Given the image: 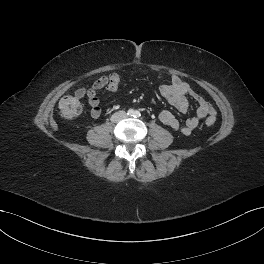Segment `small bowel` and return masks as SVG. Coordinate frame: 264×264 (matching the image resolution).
Instances as JSON below:
<instances>
[{"instance_id": "obj_1", "label": "small bowel", "mask_w": 264, "mask_h": 264, "mask_svg": "<svg viewBox=\"0 0 264 264\" xmlns=\"http://www.w3.org/2000/svg\"><path fill=\"white\" fill-rule=\"evenodd\" d=\"M120 77L117 73L110 76H101L85 92L90 105V114L97 119L102 114L100 101L97 96V90L107 88L110 91H115L118 87ZM160 94L167 102L180 112H187L190 107V99L197 104L196 115L188 118L181 124L177 118L167 110L159 114V120L162 124L170 127L176 132L189 136L191 132L198 126L201 119L205 117H214L216 112L214 107L200 94L192 90L190 85L178 76L172 75L167 81L157 80Z\"/></svg>"}]
</instances>
